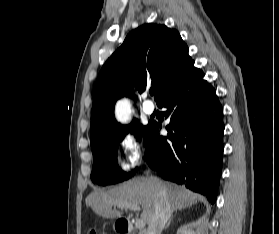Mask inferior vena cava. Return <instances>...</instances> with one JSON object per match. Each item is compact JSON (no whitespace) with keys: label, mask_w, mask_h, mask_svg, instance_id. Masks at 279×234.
Here are the masks:
<instances>
[{"label":"inferior vena cava","mask_w":279,"mask_h":234,"mask_svg":"<svg viewBox=\"0 0 279 234\" xmlns=\"http://www.w3.org/2000/svg\"><path fill=\"white\" fill-rule=\"evenodd\" d=\"M171 212V205L167 199L165 189L160 187L159 199L155 203L154 215L151 221L148 223V228L145 234H161L166 222L171 215Z\"/></svg>","instance_id":"602c4592"}]
</instances>
